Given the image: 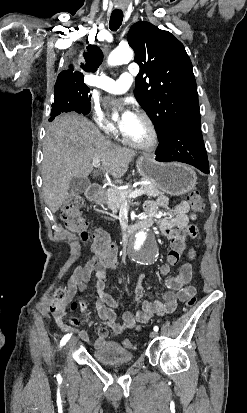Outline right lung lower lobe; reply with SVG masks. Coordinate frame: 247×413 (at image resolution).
Returning a JSON list of instances; mask_svg holds the SVG:
<instances>
[{"instance_id":"1","label":"right lung lower lobe","mask_w":247,"mask_h":413,"mask_svg":"<svg viewBox=\"0 0 247 413\" xmlns=\"http://www.w3.org/2000/svg\"><path fill=\"white\" fill-rule=\"evenodd\" d=\"M91 110V105H87L73 97L54 98L52 104L51 117L49 121H52L57 115L63 112L75 111L79 114H88Z\"/></svg>"}]
</instances>
